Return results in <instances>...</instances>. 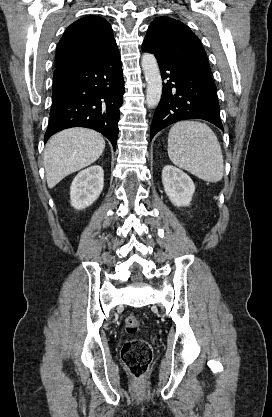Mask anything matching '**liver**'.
I'll return each mask as SVG.
<instances>
[{"label": "liver", "instance_id": "1", "mask_svg": "<svg viewBox=\"0 0 272 417\" xmlns=\"http://www.w3.org/2000/svg\"><path fill=\"white\" fill-rule=\"evenodd\" d=\"M104 148L103 137L91 129L71 128L52 136L44 151L48 187H55L69 174L94 163Z\"/></svg>", "mask_w": 272, "mask_h": 417}]
</instances>
